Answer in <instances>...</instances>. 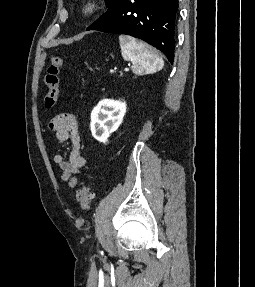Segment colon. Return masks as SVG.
<instances>
[{"label":"colon","instance_id":"colon-1","mask_svg":"<svg viewBox=\"0 0 255 287\" xmlns=\"http://www.w3.org/2000/svg\"><path fill=\"white\" fill-rule=\"evenodd\" d=\"M63 66L64 59L61 56H52L43 79L44 85L47 88L44 95V103L47 108H52L56 104L59 93L60 72ZM76 198L84 210H89L93 197L88 186L81 185L76 192Z\"/></svg>","mask_w":255,"mask_h":287}]
</instances>
